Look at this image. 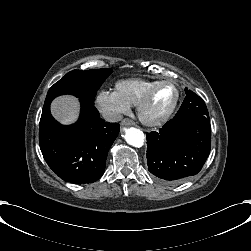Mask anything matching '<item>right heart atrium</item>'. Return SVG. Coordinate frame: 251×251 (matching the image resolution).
<instances>
[{
    "mask_svg": "<svg viewBox=\"0 0 251 251\" xmlns=\"http://www.w3.org/2000/svg\"><path fill=\"white\" fill-rule=\"evenodd\" d=\"M98 111L108 121L115 122L130 110V105L122 101L115 91L100 90L94 98Z\"/></svg>",
    "mask_w": 251,
    "mask_h": 251,
    "instance_id": "right-heart-atrium-1",
    "label": "right heart atrium"
}]
</instances>
